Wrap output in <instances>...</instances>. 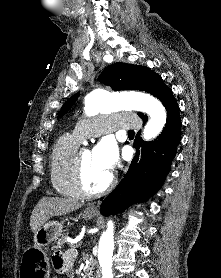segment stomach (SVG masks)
I'll return each mask as SVG.
<instances>
[{"label": "stomach", "mask_w": 221, "mask_h": 278, "mask_svg": "<svg viewBox=\"0 0 221 278\" xmlns=\"http://www.w3.org/2000/svg\"><path fill=\"white\" fill-rule=\"evenodd\" d=\"M81 215L83 218L91 219L97 215V211L86 208ZM62 231V223L49 221L34 233V245L23 254V261L20 265L22 270L18 271L20 278H51L52 267L47 264L43 248L56 241Z\"/></svg>", "instance_id": "1"}]
</instances>
